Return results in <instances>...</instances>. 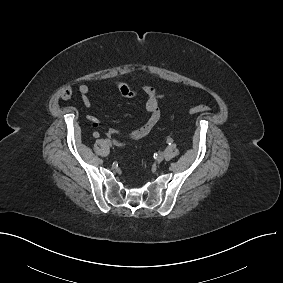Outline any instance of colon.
<instances>
[{
    "mask_svg": "<svg viewBox=\"0 0 283 283\" xmlns=\"http://www.w3.org/2000/svg\"><path fill=\"white\" fill-rule=\"evenodd\" d=\"M72 96V91L70 88H64L61 91V98L64 100H69ZM209 109V105L207 103H200L199 105H196L190 109L191 114H197L204 111H207Z\"/></svg>",
    "mask_w": 283,
    "mask_h": 283,
    "instance_id": "obj_1",
    "label": "colon"
}]
</instances>
